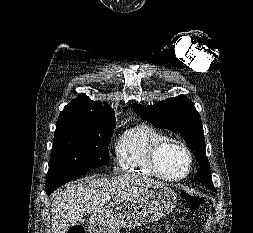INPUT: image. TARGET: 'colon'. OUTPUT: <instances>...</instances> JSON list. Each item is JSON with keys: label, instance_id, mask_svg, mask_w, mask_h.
<instances>
[{"label": "colon", "instance_id": "1", "mask_svg": "<svg viewBox=\"0 0 253 233\" xmlns=\"http://www.w3.org/2000/svg\"><path fill=\"white\" fill-rule=\"evenodd\" d=\"M183 202L187 209L189 210H199L205 204L204 197L191 193H183L182 194ZM67 233H85L84 227L82 225H73L69 228Z\"/></svg>", "mask_w": 253, "mask_h": 233}]
</instances>
